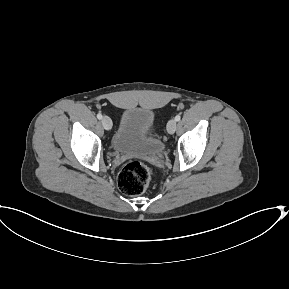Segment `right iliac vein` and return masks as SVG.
<instances>
[{
  "label": "right iliac vein",
  "instance_id": "right-iliac-vein-1",
  "mask_svg": "<svg viewBox=\"0 0 289 289\" xmlns=\"http://www.w3.org/2000/svg\"><path fill=\"white\" fill-rule=\"evenodd\" d=\"M101 122L105 130H110L112 128V120L108 116H104Z\"/></svg>",
  "mask_w": 289,
  "mask_h": 289
}]
</instances>
